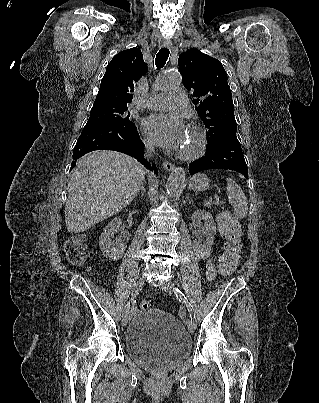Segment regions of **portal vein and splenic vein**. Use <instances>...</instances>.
<instances>
[{"label":"portal vein and splenic vein","mask_w":319,"mask_h":403,"mask_svg":"<svg viewBox=\"0 0 319 403\" xmlns=\"http://www.w3.org/2000/svg\"><path fill=\"white\" fill-rule=\"evenodd\" d=\"M215 199H216V204H220L218 196H215Z\"/></svg>","instance_id":"1"}]
</instances>
